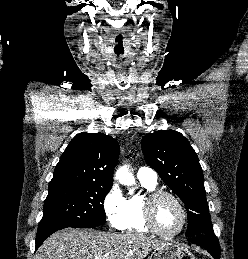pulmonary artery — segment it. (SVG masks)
<instances>
[{
	"instance_id": "e3ab8cb5",
	"label": "pulmonary artery",
	"mask_w": 248,
	"mask_h": 259,
	"mask_svg": "<svg viewBox=\"0 0 248 259\" xmlns=\"http://www.w3.org/2000/svg\"><path fill=\"white\" fill-rule=\"evenodd\" d=\"M137 177L140 181H145L151 184H157L158 175L150 167H141L137 171Z\"/></svg>"
}]
</instances>
